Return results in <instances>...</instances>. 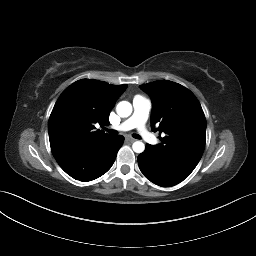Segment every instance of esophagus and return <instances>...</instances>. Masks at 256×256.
Segmentation results:
<instances>
[{
    "label": "esophagus",
    "mask_w": 256,
    "mask_h": 256,
    "mask_svg": "<svg viewBox=\"0 0 256 256\" xmlns=\"http://www.w3.org/2000/svg\"><path fill=\"white\" fill-rule=\"evenodd\" d=\"M126 141L129 142V143H133L135 141V139L128 137V138H126Z\"/></svg>",
    "instance_id": "1"
}]
</instances>
